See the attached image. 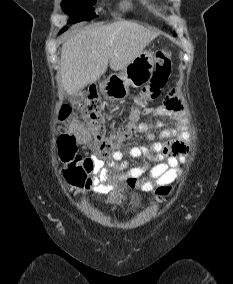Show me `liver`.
Listing matches in <instances>:
<instances>
[{
	"mask_svg": "<svg viewBox=\"0 0 233 284\" xmlns=\"http://www.w3.org/2000/svg\"><path fill=\"white\" fill-rule=\"evenodd\" d=\"M138 23L117 21L109 25L87 27L62 46L60 79L68 95L100 79L108 64L114 71L123 70L157 36Z\"/></svg>",
	"mask_w": 233,
	"mask_h": 284,
	"instance_id": "obj_1",
	"label": "liver"
}]
</instances>
